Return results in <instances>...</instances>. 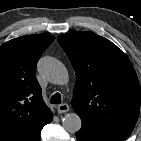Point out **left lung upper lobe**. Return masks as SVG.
I'll return each mask as SVG.
<instances>
[{"label":"left lung upper lobe","mask_w":141,"mask_h":141,"mask_svg":"<svg viewBox=\"0 0 141 141\" xmlns=\"http://www.w3.org/2000/svg\"><path fill=\"white\" fill-rule=\"evenodd\" d=\"M76 72L71 105L82 126L125 139L138 119L141 92L135 70L111 41L93 32L57 38Z\"/></svg>","instance_id":"1"}]
</instances>
